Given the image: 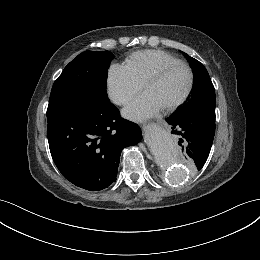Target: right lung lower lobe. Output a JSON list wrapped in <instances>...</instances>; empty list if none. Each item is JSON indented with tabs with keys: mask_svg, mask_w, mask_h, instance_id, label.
Instances as JSON below:
<instances>
[{
	"mask_svg": "<svg viewBox=\"0 0 260 260\" xmlns=\"http://www.w3.org/2000/svg\"><path fill=\"white\" fill-rule=\"evenodd\" d=\"M47 136L53 161L74 185L98 191L116 181L124 147L141 140L140 127L120 119L109 100L95 108L47 112Z\"/></svg>",
	"mask_w": 260,
	"mask_h": 260,
	"instance_id": "1",
	"label": "right lung lower lobe"
}]
</instances>
